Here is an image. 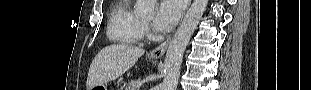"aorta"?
Segmentation results:
<instances>
[{"mask_svg":"<svg viewBox=\"0 0 311 90\" xmlns=\"http://www.w3.org/2000/svg\"><path fill=\"white\" fill-rule=\"evenodd\" d=\"M157 0H137L135 11L145 17H152ZM208 0H194L186 12L182 23L171 40L164 62L165 77L162 90H176L184 51L206 9Z\"/></svg>","mask_w":311,"mask_h":90,"instance_id":"1","label":"aorta"}]
</instances>
